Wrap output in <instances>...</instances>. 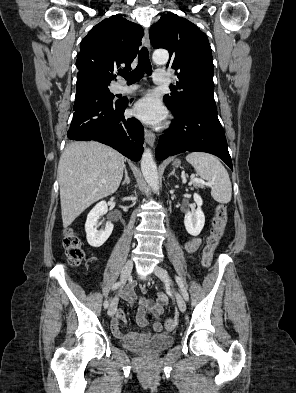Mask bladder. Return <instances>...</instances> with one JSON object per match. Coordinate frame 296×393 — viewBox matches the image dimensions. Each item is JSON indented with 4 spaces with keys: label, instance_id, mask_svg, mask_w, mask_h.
<instances>
[{
    "label": "bladder",
    "instance_id": "1",
    "mask_svg": "<svg viewBox=\"0 0 296 393\" xmlns=\"http://www.w3.org/2000/svg\"><path fill=\"white\" fill-rule=\"evenodd\" d=\"M174 337L169 334H156L143 341H126V348L145 355L159 353L172 346Z\"/></svg>",
    "mask_w": 296,
    "mask_h": 393
}]
</instances>
